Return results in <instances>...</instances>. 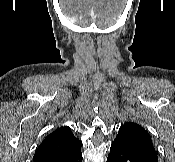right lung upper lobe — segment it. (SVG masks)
Wrapping results in <instances>:
<instances>
[{"mask_svg": "<svg viewBox=\"0 0 175 162\" xmlns=\"http://www.w3.org/2000/svg\"><path fill=\"white\" fill-rule=\"evenodd\" d=\"M78 140L69 127H61L49 134L39 145L33 160L55 154H71L81 150Z\"/></svg>", "mask_w": 175, "mask_h": 162, "instance_id": "cb5924a9", "label": "right lung upper lobe"}]
</instances>
